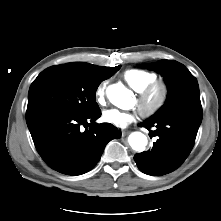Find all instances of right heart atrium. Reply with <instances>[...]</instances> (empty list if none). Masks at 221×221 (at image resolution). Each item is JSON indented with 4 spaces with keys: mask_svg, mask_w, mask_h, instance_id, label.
<instances>
[{
    "mask_svg": "<svg viewBox=\"0 0 221 221\" xmlns=\"http://www.w3.org/2000/svg\"><path fill=\"white\" fill-rule=\"evenodd\" d=\"M96 99L98 103L103 104L105 101V85L101 84L96 89Z\"/></svg>",
    "mask_w": 221,
    "mask_h": 221,
    "instance_id": "d8ad5b80",
    "label": "right heart atrium"
}]
</instances>
